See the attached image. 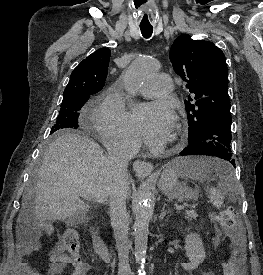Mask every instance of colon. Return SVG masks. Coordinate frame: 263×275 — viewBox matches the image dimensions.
Instances as JSON below:
<instances>
[{
  "label": "colon",
  "instance_id": "colon-1",
  "mask_svg": "<svg viewBox=\"0 0 263 275\" xmlns=\"http://www.w3.org/2000/svg\"><path fill=\"white\" fill-rule=\"evenodd\" d=\"M217 222L224 228L228 236L232 239L231 257L224 264V275H244V263L239 253L240 232L236 221L235 213L232 209H225L215 216ZM64 249L69 253L74 264H82L79 254V235L75 229H67L62 236ZM204 272L202 275H209Z\"/></svg>",
  "mask_w": 263,
  "mask_h": 275
}]
</instances>
